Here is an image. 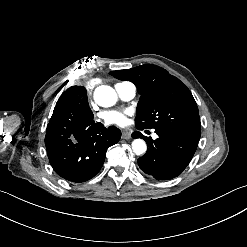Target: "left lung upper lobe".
I'll use <instances>...</instances> for the list:
<instances>
[{
	"mask_svg": "<svg viewBox=\"0 0 247 247\" xmlns=\"http://www.w3.org/2000/svg\"><path fill=\"white\" fill-rule=\"evenodd\" d=\"M119 80L133 82L141 97L136 110V127L176 131L199 140L200 117L197 104L178 78L152 64L109 72Z\"/></svg>",
	"mask_w": 247,
	"mask_h": 247,
	"instance_id": "obj_1",
	"label": "left lung upper lobe"
}]
</instances>
